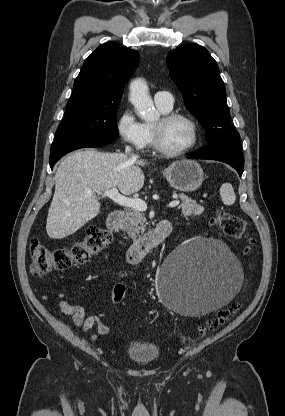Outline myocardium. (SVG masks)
Segmentation results:
<instances>
[{"label": "myocardium", "mask_w": 285, "mask_h": 416, "mask_svg": "<svg viewBox=\"0 0 285 416\" xmlns=\"http://www.w3.org/2000/svg\"><path fill=\"white\" fill-rule=\"evenodd\" d=\"M175 119H182V120L186 121L190 125L191 130H192L191 143L186 148L178 150V151H174V150H170V149L166 148L161 142L159 127H157L155 125L151 126L154 148L160 154H162L164 156H168V157H179V156H184V155L190 153L197 146L198 141H199L198 125L195 122V120L187 114H183V113H179V112H172V111L163 112L161 117H160V123L161 124H166V123H169V122H171Z\"/></svg>", "instance_id": "1"}]
</instances>
